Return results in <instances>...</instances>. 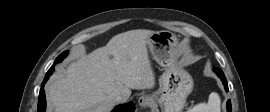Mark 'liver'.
I'll return each mask as SVG.
<instances>
[{
    "instance_id": "1",
    "label": "liver",
    "mask_w": 270,
    "mask_h": 112,
    "mask_svg": "<svg viewBox=\"0 0 270 112\" xmlns=\"http://www.w3.org/2000/svg\"><path fill=\"white\" fill-rule=\"evenodd\" d=\"M153 33L146 29L123 32L106 46L80 54L47 86L49 112H110L115 95L128 99L131 89H153L155 74L147 49Z\"/></svg>"
}]
</instances>
